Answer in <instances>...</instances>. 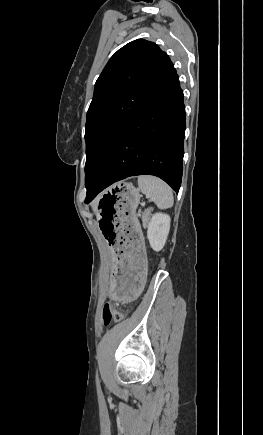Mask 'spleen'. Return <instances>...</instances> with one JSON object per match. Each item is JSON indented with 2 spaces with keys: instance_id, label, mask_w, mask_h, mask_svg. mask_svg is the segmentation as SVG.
Instances as JSON below:
<instances>
[{
  "instance_id": "spleen-1",
  "label": "spleen",
  "mask_w": 263,
  "mask_h": 435,
  "mask_svg": "<svg viewBox=\"0 0 263 435\" xmlns=\"http://www.w3.org/2000/svg\"><path fill=\"white\" fill-rule=\"evenodd\" d=\"M138 186L158 208L166 209L173 205V193L171 188L160 178L149 175L138 177Z\"/></svg>"
}]
</instances>
